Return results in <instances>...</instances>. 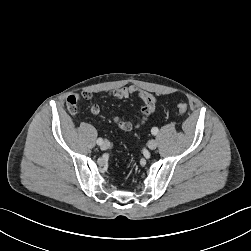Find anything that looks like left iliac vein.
<instances>
[{"label": "left iliac vein", "instance_id": "1", "mask_svg": "<svg viewBox=\"0 0 251 251\" xmlns=\"http://www.w3.org/2000/svg\"><path fill=\"white\" fill-rule=\"evenodd\" d=\"M156 147H157V142L155 140L152 139L148 142L149 149L154 150V149H156Z\"/></svg>", "mask_w": 251, "mask_h": 251}]
</instances>
